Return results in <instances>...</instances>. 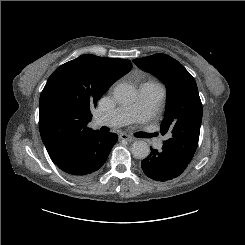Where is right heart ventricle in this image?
<instances>
[{
	"mask_svg": "<svg viewBox=\"0 0 245 245\" xmlns=\"http://www.w3.org/2000/svg\"><path fill=\"white\" fill-rule=\"evenodd\" d=\"M144 83H145V84H151V85H155V86H160V87H161V85H160L157 81L152 80V79L147 80V81L144 82Z\"/></svg>",
	"mask_w": 245,
	"mask_h": 245,
	"instance_id": "right-heart-ventricle-1",
	"label": "right heart ventricle"
}]
</instances>
